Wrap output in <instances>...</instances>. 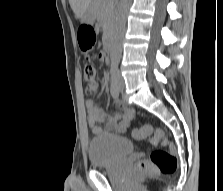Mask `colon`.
Returning <instances> with one entry per match:
<instances>
[{
    "label": "colon",
    "instance_id": "colon-1",
    "mask_svg": "<svg viewBox=\"0 0 223 191\" xmlns=\"http://www.w3.org/2000/svg\"><path fill=\"white\" fill-rule=\"evenodd\" d=\"M78 41L84 51L92 52L96 46V32L90 25L80 28ZM96 68L87 64L84 68V77L88 83H93L96 79ZM133 137L138 140L150 138L153 145L157 146L149 155V159L139 161L135 166V171L141 174H151L158 171L162 174H172L177 169V158L175 148L170 143L162 130H153L150 125H144L133 131Z\"/></svg>",
    "mask_w": 223,
    "mask_h": 191
}]
</instances>
